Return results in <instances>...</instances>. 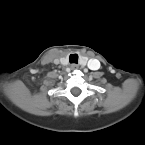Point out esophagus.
<instances>
[{"label": "esophagus", "mask_w": 145, "mask_h": 145, "mask_svg": "<svg viewBox=\"0 0 145 145\" xmlns=\"http://www.w3.org/2000/svg\"><path fill=\"white\" fill-rule=\"evenodd\" d=\"M71 68H72L73 70H76V69H78V66L75 65V64H73V65L71 66Z\"/></svg>", "instance_id": "34e87169"}]
</instances>
